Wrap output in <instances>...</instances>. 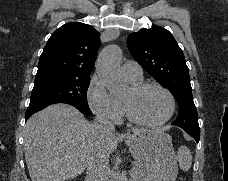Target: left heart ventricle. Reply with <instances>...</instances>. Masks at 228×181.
I'll return each mask as SVG.
<instances>
[{"mask_svg": "<svg viewBox=\"0 0 228 181\" xmlns=\"http://www.w3.org/2000/svg\"><path fill=\"white\" fill-rule=\"evenodd\" d=\"M122 79L125 80L124 78ZM125 95L127 98L132 99L134 110L145 120H158L166 113L167 99L156 88H146L135 96H132L128 89Z\"/></svg>", "mask_w": 228, "mask_h": 181, "instance_id": "b2bd125f", "label": "left heart ventricle"}]
</instances>
